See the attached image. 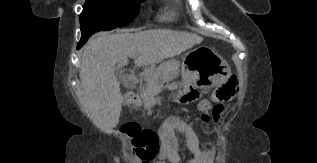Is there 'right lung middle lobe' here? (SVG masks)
<instances>
[{
	"mask_svg": "<svg viewBox=\"0 0 317 163\" xmlns=\"http://www.w3.org/2000/svg\"><path fill=\"white\" fill-rule=\"evenodd\" d=\"M144 0H86L80 15L81 40L97 31H108L130 23L139 13Z\"/></svg>",
	"mask_w": 317,
	"mask_h": 163,
	"instance_id": "obj_1",
	"label": "right lung middle lobe"
}]
</instances>
